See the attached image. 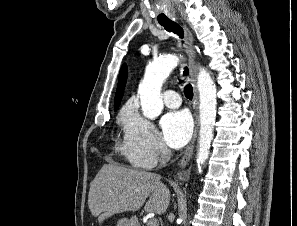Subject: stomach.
<instances>
[{
  "mask_svg": "<svg viewBox=\"0 0 297 226\" xmlns=\"http://www.w3.org/2000/svg\"><path fill=\"white\" fill-rule=\"evenodd\" d=\"M117 226H137V223L135 219L123 218L119 220Z\"/></svg>",
  "mask_w": 297,
  "mask_h": 226,
  "instance_id": "stomach-1",
  "label": "stomach"
}]
</instances>
